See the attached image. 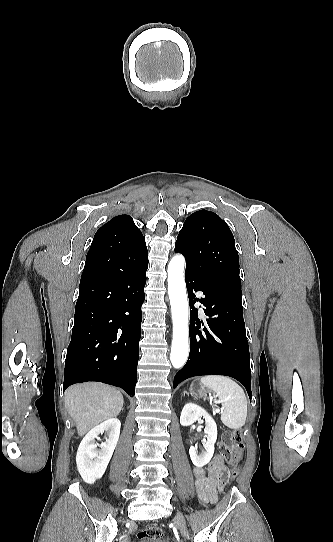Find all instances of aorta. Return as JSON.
<instances>
[{
  "label": "aorta",
  "instance_id": "aorta-1",
  "mask_svg": "<svg viewBox=\"0 0 333 542\" xmlns=\"http://www.w3.org/2000/svg\"><path fill=\"white\" fill-rule=\"evenodd\" d=\"M185 258L173 256L168 264V296L171 306L173 336L170 362L179 370L185 366L189 356V308L184 282Z\"/></svg>",
  "mask_w": 333,
  "mask_h": 542
}]
</instances>
